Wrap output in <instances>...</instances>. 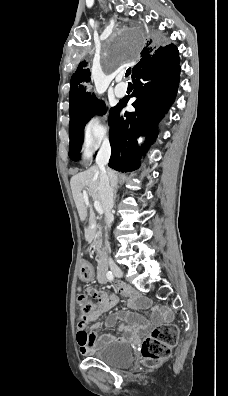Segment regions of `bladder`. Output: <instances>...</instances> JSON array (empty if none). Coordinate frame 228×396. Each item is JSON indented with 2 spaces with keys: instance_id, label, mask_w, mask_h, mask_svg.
<instances>
[{
  "instance_id": "obj_1",
  "label": "bladder",
  "mask_w": 228,
  "mask_h": 396,
  "mask_svg": "<svg viewBox=\"0 0 228 396\" xmlns=\"http://www.w3.org/2000/svg\"><path fill=\"white\" fill-rule=\"evenodd\" d=\"M90 355L110 366L126 367L134 360L131 345L124 341L110 342L94 348Z\"/></svg>"
}]
</instances>
